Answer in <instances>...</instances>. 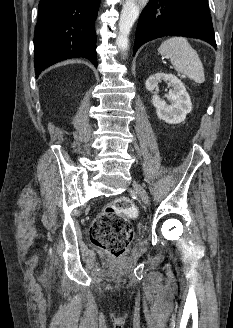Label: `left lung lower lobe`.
Masks as SVG:
<instances>
[{"label":"left lung lower lobe","instance_id":"left-lung-lower-lobe-1","mask_svg":"<svg viewBox=\"0 0 233 328\" xmlns=\"http://www.w3.org/2000/svg\"><path fill=\"white\" fill-rule=\"evenodd\" d=\"M168 35L197 38L216 47L208 0H150L138 21L133 56L143 43Z\"/></svg>","mask_w":233,"mask_h":328}]
</instances>
